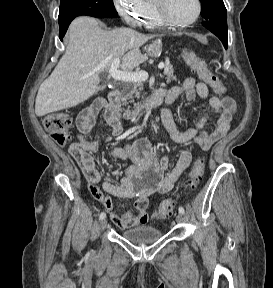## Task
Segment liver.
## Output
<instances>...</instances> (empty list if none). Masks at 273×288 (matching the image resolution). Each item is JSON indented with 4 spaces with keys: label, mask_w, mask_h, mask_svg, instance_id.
<instances>
[{
    "label": "liver",
    "mask_w": 273,
    "mask_h": 288,
    "mask_svg": "<svg viewBox=\"0 0 273 288\" xmlns=\"http://www.w3.org/2000/svg\"><path fill=\"white\" fill-rule=\"evenodd\" d=\"M153 37L130 28L107 31L92 17L74 19L65 54L39 87L36 115L42 117L75 107L104 90L105 85H99L100 73L110 68L116 58L121 61V71L131 72L146 60L140 47Z\"/></svg>",
    "instance_id": "6515ba94"
}]
</instances>
